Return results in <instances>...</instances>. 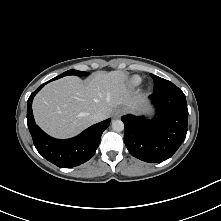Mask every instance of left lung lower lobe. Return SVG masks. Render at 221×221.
I'll return each mask as SVG.
<instances>
[{"label": "left lung lower lobe", "instance_id": "left-lung-lower-lobe-1", "mask_svg": "<svg viewBox=\"0 0 221 221\" xmlns=\"http://www.w3.org/2000/svg\"><path fill=\"white\" fill-rule=\"evenodd\" d=\"M149 98L156 108L154 118L131 114L121 117L125 125L124 142L134 157L158 163L169 159L184 141L188 109L179 88L154 92Z\"/></svg>", "mask_w": 221, "mask_h": 221}]
</instances>
